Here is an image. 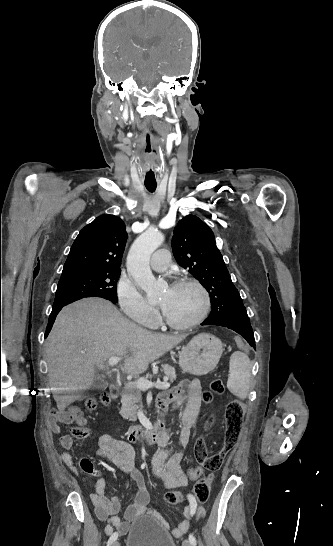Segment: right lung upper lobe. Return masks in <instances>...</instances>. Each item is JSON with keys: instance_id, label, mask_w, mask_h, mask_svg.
<instances>
[{"instance_id": "cb5924a9", "label": "right lung upper lobe", "mask_w": 333, "mask_h": 546, "mask_svg": "<svg viewBox=\"0 0 333 546\" xmlns=\"http://www.w3.org/2000/svg\"><path fill=\"white\" fill-rule=\"evenodd\" d=\"M126 240L125 224L119 217L108 214L97 217L75 239L62 275L120 270Z\"/></svg>"}]
</instances>
